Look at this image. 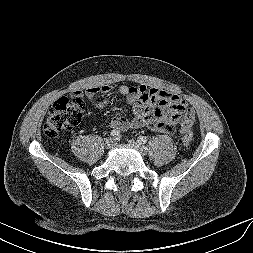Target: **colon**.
Listing matches in <instances>:
<instances>
[{"label": "colon", "instance_id": "1", "mask_svg": "<svg viewBox=\"0 0 253 253\" xmlns=\"http://www.w3.org/2000/svg\"><path fill=\"white\" fill-rule=\"evenodd\" d=\"M84 110L85 104L81 98H59L49 111L43 127L44 134L49 138H55L61 133L71 130L80 122ZM192 139V134L188 132L182 137V142L188 145Z\"/></svg>", "mask_w": 253, "mask_h": 253}]
</instances>
